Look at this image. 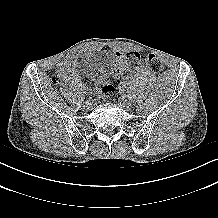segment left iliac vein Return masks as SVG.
Listing matches in <instances>:
<instances>
[{"label": "left iliac vein", "mask_w": 218, "mask_h": 218, "mask_svg": "<svg viewBox=\"0 0 218 218\" xmlns=\"http://www.w3.org/2000/svg\"><path fill=\"white\" fill-rule=\"evenodd\" d=\"M121 104H122L124 107L129 108V107L131 106V101L128 100L127 98H122Z\"/></svg>", "instance_id": "obj_1"}]
</instances>
